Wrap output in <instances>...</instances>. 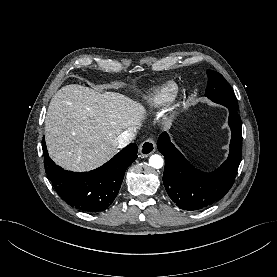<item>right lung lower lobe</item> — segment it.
<instances>
[{"label": "right lung lower lobe", "mask_w": 277, "mask_h": 277, "mask_svg": "<svg viewBox=\"0 0 277 277\" xmlns=\"http://www.w3.org/2000/svg\"><path fill=\"white\" fill-rule=\"evenodd\" d=\"M45 171L57 193L70 206L89 213L101 212L114 201L121 187L124 173L136 160L138 147L132 143L103 166L90 172L65 171L48 156L42 140Z\"/></svg>", "instance_id": "1"}]
</instances>
